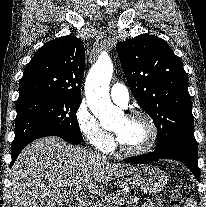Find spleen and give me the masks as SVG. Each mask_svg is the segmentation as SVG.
I'll return each mask as SVG.
<instances>
[{
	"label": "spleen",
	"instance_id": "3e777b00",
	"mask_svg": "<svg viewBox=\"0 0 206 207\" xmlns=\"http://www.w3.org/2000/svg\"><path fill=\"white\" fill-rule=\"evenodd\" d=\"M184 207H197L194 197L188 198L185 205H184Z\"/></svg>",
	"mask_w": 206,
	"mask_h": 207
}]
</instances>
